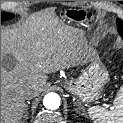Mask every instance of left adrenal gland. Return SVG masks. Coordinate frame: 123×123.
<instances>
[{"mask_svg": "<svg viewBox=\"0 0 123 123\" xmlns=\"http://www.w3.org/2000/svg\"><path fill=\"white\" fill-rule=\"evenodd\" d=\"M82 111H83V113H81V115H85V113H84V112H85L84 108L82 109Z\"/></svg>", "mask_w": 123, "mask_h": 123, "instance_id": "1", "label": "left adrenal gland"}]
</instances>
